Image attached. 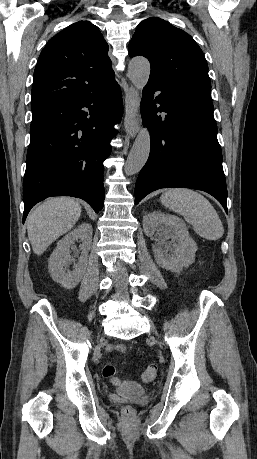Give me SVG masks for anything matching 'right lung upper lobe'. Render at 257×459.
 <instances>
[{
    "label": "right lung upper lobe",
    "instance_id": "right-lung-upper-lobe-1",
    "mask_svg": "<svg viewBox=\"0 0 257 459\" xmlns=\"http://www.w3.org/2000/svg\"><path fill=\"white\" fill-rule=\"evenodd\" d=\"M114 81L108 44L98 27L76 22L42 50L34 70L31 109L87 96Z\"/></svg>",
    "mask_w": 257,
    "mask_h": 459
}]
</instances>
